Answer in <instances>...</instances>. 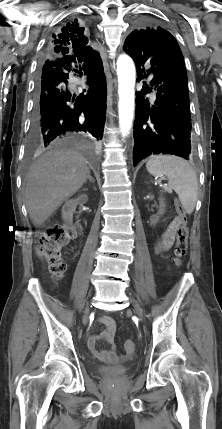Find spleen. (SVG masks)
Wrapping results in <instances>:
<instances>
[{
    "instance_id": "obj_1",
    "label": "spleen",
    "mask_w": 222,
    "mask_h": 429,
    "mask_svg": "<svg viewBox=\"0 0 222 429\" xmlns=\"http://www.w3.org/2000/svg\"><path fill=\"white\" fill-rule=\"evenodd\" d=\"M146 169L153 176L165 175L169 187L178 194L184 210L188 214L194 211L198 181L195 171L188 162L177 156L155 155L146 163Z\"/></svg>"
}]
</instances>
